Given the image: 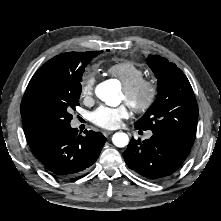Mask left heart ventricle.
Instances as JSON below:
<instances>
[{
    "mask_svg": "<svg viewBox=\"0 0 221 221\" xmlns=\"http://www.w3.org/2000/svg\"><path fill=\"white\" fill-rule=\"evenodd\" d=\"M121 100H126V95H125L124 91H122V93H121Z\"/></svg>",
    "mask_w": 221,
    "mask_h": 221,
    "instance_id": "left-heart-ventricle-1",
    "label": "left heart ventricle"
}]
</instances>
